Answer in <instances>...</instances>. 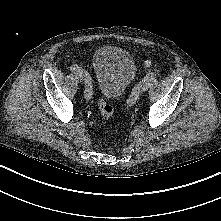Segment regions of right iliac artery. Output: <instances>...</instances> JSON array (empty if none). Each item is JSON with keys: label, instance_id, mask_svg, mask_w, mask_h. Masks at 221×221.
Instances as JSON below:
<instances>
[{"label": "right iliac artery", "instance_id": "right-iliac-artery-1", "mask_svg": "<svg viewBox=\"0 0 221 221\" xmlns=\"http://www.w3.org/2000/svg\"><path fill=\"white\" fill-rule=\"evenodd\" d=\"M70 71L75 74H80L84 78L85 81L84 96L87 100L91 99L93 97V82L90 75L87 73V71L81 69L77 65H72L70 67Z\"/></svg>", "mask_w": 221, "mask_h": 221}]
</instances>
